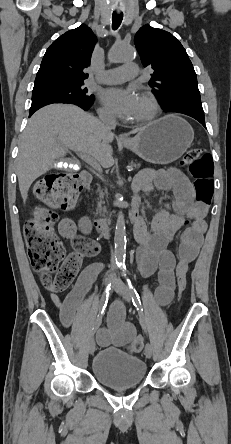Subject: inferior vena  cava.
<instances>
[{
	"label": "inferior vena cava",
	"mask_w": 231,
	"mask_h": 444,
	"mask_svg": "<svg viewBox=\"0 0 231 444\" xmlns=\"http://www.w3.org/2000/svg\"><path fill=\"white\" fill-rule=\"evenodd\" d=\"M99 119L106 130H113L116 127L115 118L109 113L102 112L99 114Z\"/></svg>",
	"instance_id": "obj_1"
}]
</instances>
